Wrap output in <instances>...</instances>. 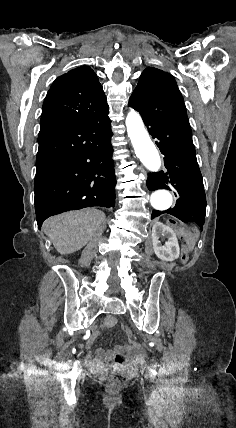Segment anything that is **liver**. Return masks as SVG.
I'll return each mask as SVG.
<instances>
[{"label":"liver","instance_id":"1","mask_svg":"<svg viewBox=\"0 0 236 428\" xmlns=\"http://www.w3.org/2000/svg\"><path fill=\"white\" fill-rule=\"evenodd\" d=\"M105 214L95 208L66 212L44 222V232L59 254H73L88 244L93 236H102Z\"/></svg>","mask_w":236,"mask_h":428}]
</instances>
